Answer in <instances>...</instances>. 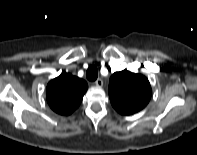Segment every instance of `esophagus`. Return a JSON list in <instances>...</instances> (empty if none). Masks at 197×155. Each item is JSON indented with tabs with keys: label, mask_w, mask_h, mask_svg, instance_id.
I'll return each mask as SVG.
<instances>
[{
	"label": "esophagus",
	"mask_w": 197,
	"mask_h": 155,
	"mask_svg": "<svg viewBox=\"0 0 197 155\" xmlns=\"http://www.w3.org/2000/svg\"><path fill=\"white\" fill-rule=\"evenodd\" d=\"M94 84L97 86V87H102L103 86V81L102 79L98 78Z\"/></svg>",
	"instance_id": "esophagus-1"
}]
</instances>
